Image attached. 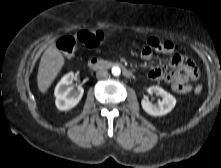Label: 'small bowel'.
I'll list each match as a JSON object with an SVG mask.
<instances>
[{"label":"small bowel","instance_id":"1","mask_svg":"<svg viewBox=\"0 0 221 168\" xmlns=\"http://www.w3.org/2000/svg\"><path fill=\"white\" fill-rule=\"evenodd\" d=\"M164 43L168 45V48L159 52L165 54L173 53V43L170 41H165ZM153 51L154 49L146 45L141 52L142 59L145 61H150L153 57ZM170 66L173 68V70L169 73H167L164 66H157L151 69L148 73L149 78L153 80L164 79L168 84H170L172 90L178 94H186L190 92L192 87L189 83V78L194 79L198 75V71L194 63L182 55L175 54L170 59Z\"/></svg>","mask_w":221,"mask_h":168}]
</instances>
